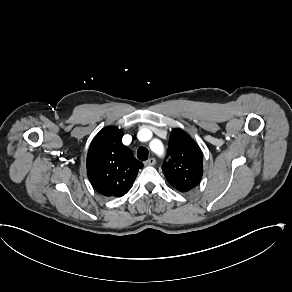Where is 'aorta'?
<instances>
[{"label":"aorta","mask_w":292,"mask_h":292,"mask_svg":"<svg viewBox=\"0 0 292 292\" xmlns=\"http://www.w3.org/2000/svg\"><path fill=\"white\" fill-rule=\"evenodd\" d=\"M160 145H161V143H159V142H153L151 148L153 151H155L157 149V147H159Z\"/></svg>","instance_id":"aorta-1"}]
</instances>
